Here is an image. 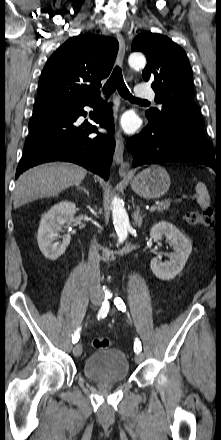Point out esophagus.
I'll return each mask as SVG.
<instances>
[{"label": "esophagus", "instance_id": "esophagus-1", "mask_svg": "<svg viewBox=\"0 0 221 440\" xmlns=\"http://www.w3.org/2000/svg\"><path fill=\"white\" fill-rule=\"evenodd\" d=\"M117 40L119 43V51H118V56H117V64L118 65H122L124 57H125V50H126V46H125V41L123 36L118 33L117 34ZM115 141H116V146H115V152H114V162L119 165V174L120 176H126L129 172L130 169V165L128 162L124 161L123 158V153H124V139L121 133V130L118 129L115 135Z\"/></svg>", "mask_w": 221, "mask_h": 440}]
</instances>
